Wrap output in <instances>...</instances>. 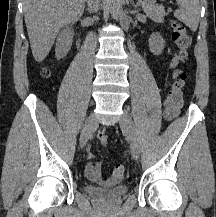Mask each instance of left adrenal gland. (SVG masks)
Returning a JSON list of instances; mask_svg holds the SVG:
<instances>
[{"label": "left adrenal gland", "instance_id": "obj_1", "mask_svg": "<svg viewBox=\"0 0 216 217\" xmlns=\"http://www.w3.org/2000/svg\"><path fill=\"white\" fill-rule=\"evenodd\" d=\"M130 2H131V4L133 5V7H134L135 9H137V10L139 9L138 4H134V3H133V0H130Z\"/></svg>", "mask_w": 216, "mask_h": 217}]
</instances>
